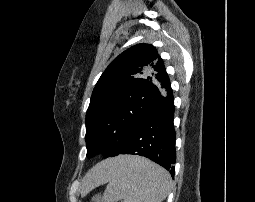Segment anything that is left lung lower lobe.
Here are the masks:
<instances>
[{
    "label": "left lung lower lobe",
    "mask_w": 255,
    "mask_h": 202,
    "mask_svg": "<svg viewBox=\"0 0 255 202\" xmlns=\"http://www.w3.org/2000/svg\"><path fill=\"white\" fill-rule=\"evenodd\" d=\"M173 118L171 94L143 119L119 154L147 157L167 169L173 177L176 161Z\"/></svg>",
    "instance_id": "left-lung-lower-lobe-1"
}]
</instances>
